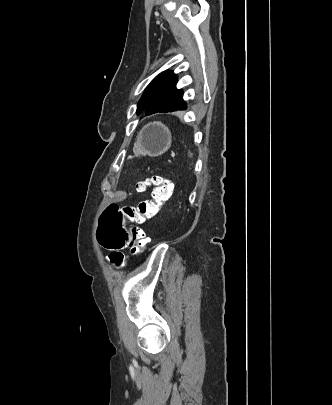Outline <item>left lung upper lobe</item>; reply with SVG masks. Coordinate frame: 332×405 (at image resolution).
<instances>
[{"instance_id": "5c2ea615", "label": "left lung upper lobe", "mask_w": 332, "mask_h": 405, "mask_svg": "<svg viewBox=\"0 0 332 405\" xmlns=\"http://www.w3.org/2000/svg\"><path fill=\"white\" fill-rule=\"evenodd\" d=\"M177 77L172 71H164L156 76L145 89L137 104V114L149 105L158 110L177 111L187 108L183 91L176 88Z\"/></svg>"}]
</instances>
